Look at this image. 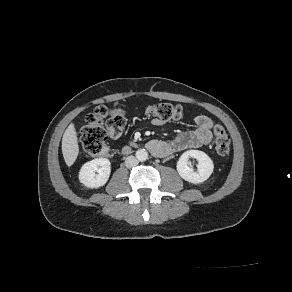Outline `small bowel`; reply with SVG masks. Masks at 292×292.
Returning <instances> with one entry per match:
<instances>
[{
    "mask_svg": "<svg viewBox=\"0 0 292 292\" xmlns=\"http://www.w3.org/2000/svg\"><path fill=\"white\" fill-rule=\"evenodd\" d=\"M165 121L154 118L152 124L164 125ZM213 121L206 115L195 117V128L180 133L170 141L153 140L149 144L150 151L158 157H166L174 153L208 145L212 141Z\"/></svg>",
    "mask_w": 292,
    "mask_h": 292,
    "instance_id": "obj_1",
    "label": "small bowel"
}]
</instances>
